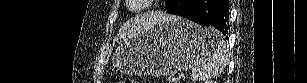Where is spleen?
<instances>
[{
  "label": "spleen",
  "mask_w": 307,
  "mask_h": 83,
  "mask_svg": "<svg viewBox=\"0 0 307 83\" xmlns=\"http://www.w3.org/2000/svg\"><path fill=\"white\" fill-rule=\"evenodd\" d=\"M207 34L208 38L213 41L214 51L207 59H200L194 64L190 75L193 82H207L211 78L218 76L228 62V50L220 33L213 28H208Z\"/></svg>",
  "instance_id": "1"
}]
</instances>
